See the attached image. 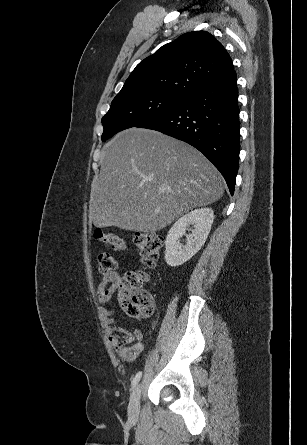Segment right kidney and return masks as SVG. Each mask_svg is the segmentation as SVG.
<instances>
[{"label":"right kidney","mask_w":307,"mask_h":445,"mask_svg":"<svg viewBox=\"0 0 307 445\" xmlns=\"http://www.w3.org/2000/svg\"><path fill=\"white\" fill-rule=\"evenodd\" d=\"M214 212L211 208H196L176 220L165 241V261L170 267H179L189 261L204 245L213 225ZM193 225L191 235H187L186 245L179 239L185 235L187 227Z\"/></svg>","instance_id":"1"}]
</instances>
